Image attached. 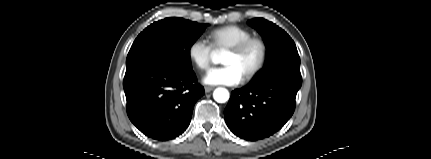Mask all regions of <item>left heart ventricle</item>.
Instances as JSON below:
<instances>
[{"mask_svg": "<svg viewBox=\"0 0 431 159\" xmlns=\"http://www.w3.org/2000/svg\"><path fill=\"white\" fill-rule=\"evenodd\" d=\"M258 59L259 48L257 46H252L242 55H234L232 53L226 52L223 58V63L225 65L235 66L240 71L242 76H244L256 66Z\"/></svg>", "mask_w": 431, "mask_h": 159, "instance_id": "1", "label": "left heart ventricle"}]
</instances>
